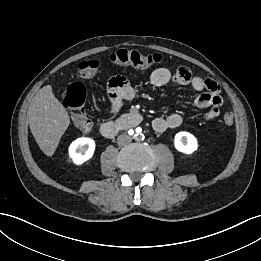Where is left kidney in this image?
<instances>
[{
  "instance_id": "obj_1",
  "label": "left kidney",
  "mask_w": 261,
  "mask_h": 261,
  "mask_svg": "<svg viewBox=\"0 0 261 261\" xmlns=\"http://www.w3.org/2000/svg\"><path fill=\"white\" fill-rule=\"evenodd\" d=\"M175 148L184 154H192L197 150V139L189 132H178L174 138Z\"/></svg>"
}]
</instances>
